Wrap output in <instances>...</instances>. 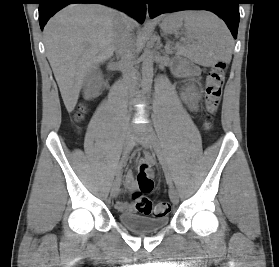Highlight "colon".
<instances>
[{
  "instance_id": "1",
  "label": "colon",
  "mask_w": 279,
  "mask_h": 267,
  "mask_svg": "<svg viewBox=\"0 0 279 267\" xmlns=\"http://www.w3.org/2000/svg\"><path fill=\"white\" fill-rule=\"evenodd\" d=\"M226 66V62H218L209 70L207 75L204 106L208 119L212 118L219 108L226 77ZM87 111V106L82 104L74 115L75 120H83ZM208 125L209 123H207V126ZM137 181L139 192L134 194L135 209L139 213L153 215L155 217L168 214L171 209L169 202L162 201L153 204V202L146 196V194L151 192L154 187L152 167L150 163L144 161L140 164Z\"/></svg>"
}]
</instances>
